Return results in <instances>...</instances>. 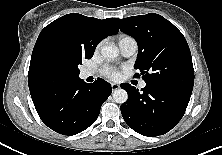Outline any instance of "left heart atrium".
<instances>
[{
	"instance_id": "1",
	"label": "left heart atrium",
	"mask_w": 222,
	"mask_h": 155,
	"mask_svg": "<svg viewBox=\"0 0 222 155\" xmlns=\"http://www.w3.org/2000/svg\"><path fill=\"white\" fill-rule=\"evenodd\" d=\"M102 74L112 80H116L120 76L119 71L111 66H104L102 69Z\"/></svg>"
}]
</instances>
